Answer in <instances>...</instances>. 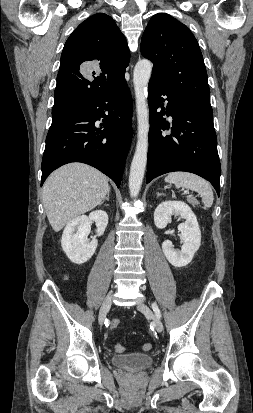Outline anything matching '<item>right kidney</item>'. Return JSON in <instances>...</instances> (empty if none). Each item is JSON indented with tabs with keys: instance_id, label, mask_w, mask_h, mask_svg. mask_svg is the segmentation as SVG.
Masks as SVG:
<instances>
[{
	"instance_id": "obj_1",
	"label": "right kidney",
	"mask_w": 253,
	"mask_h": 413,
	"mask_svg": "<svg viewBox=\"0 0 253 413\" xmlns=\"http://www.w3.org/2000/svg\"><path fill=\"white\" fill-rule=\"evenodd\" d=\"M92 221H94L97 226V235H103L108 224V215L103 210L93 211L89 216L82 215L76 217L67 224L63 231L61 239L62 249L67 257L75 264L87 262L97 248L98 241L96 239L90 243L87 242Z\"/></svg>"
}]
</instances>
